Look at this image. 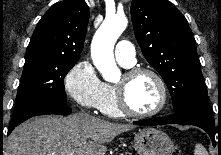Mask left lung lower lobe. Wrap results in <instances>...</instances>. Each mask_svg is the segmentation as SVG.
<instances>
[{
	"instance_id": "1",
	"label": "left lung lower lobe",
	"mask_w": 221,
	"mask_h": 155,
	"mask_svg": "<svg viewBox=\"0 0 221 155\" xmlns=\"http://www.w3.org/2000/svg\"><path fill=\"white\" fill-rule=\"evenodd\" d=\"M134 124L142 126L164 124L194 125L205 130L211 137L213 144L215 143L214 119L209 111L207 97L189 102L172 115L135 121Z\"/></svg>"
}]
</instances>
